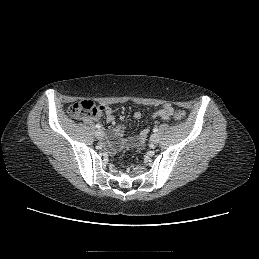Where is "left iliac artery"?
Wrapping results in <instances>:
<instances>
[{
    "mask_svg": "<svg viewBox=\"0 0 259 259\" xmlns=\"http://www.w3.org/2000/svg\"><path fill=\"white\" fill-rule=\"evenodd\" d=\"M153 132H154V133L158 132V128L155 127V128L153 129Z\"/></svg>",
    "mask_w": 259,
    "mask_h": 259,
    "instance_id": "1",
    "label": "left iliac artery"
}]
</instances>
